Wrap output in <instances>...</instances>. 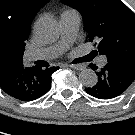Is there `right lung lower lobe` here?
<instances>
[{
  "label": "right lung lower lobe",
  "mask_w": 135,
  "mask_h": 135,
  "mask_svg": "<svg viewBox=\"0 0 135 135\" xmlns=\"http://www.w3.org/2000/svg\"><path fill=\"white\" fill-rule=\"evenodd\" d=\"M58 67L42 70L40 67H25L23 63L11 66L0 65V88L20 101H31L47 93L51 88V75Z\"/></svg>",
  "instance_id": "right-lung-lower-lobe-1"
}]
</instances>
